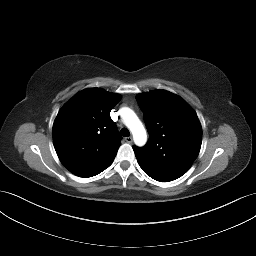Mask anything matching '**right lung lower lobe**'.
Returning <instances> with one entry per match:
<instances>
[{
  "label": "right lung lower lobe",
  "instance_id": "obj_1",
  "mask_svg": "<svg viewBox=\"0 0 256 256\" xmlns=\"http://www.w3.org/2000/svg\"><path fill=\"white\" fill-rule=\"evenodd\" d=\"M111 163H112V161H110L106 164L100 165L98 167H95V168L84 170V171L79 172L75 175L80 176V177H84V178L92 177V176H95V175L101 173L103 170H105L107 167H109L111 165Z\"/></svg>",
  "mask_w": 256,
  "mask_h": 256
}]
</instances>
